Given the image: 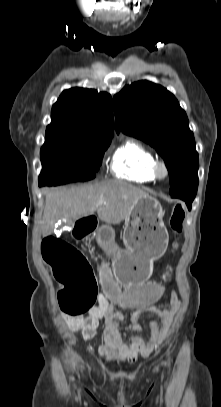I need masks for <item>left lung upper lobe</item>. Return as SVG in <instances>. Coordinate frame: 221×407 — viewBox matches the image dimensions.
Segmentation results:
<instances>
[{
	"instance_id": "1",
	"label": "left lung upper lobe",
	"mask_w": 221,
	"mask_h": 407,
	"mask_svg": "<svg viewBox=\"0 0 221 407\" xmlns=\"http://www.w3.org/2000/svg\"><path fill=\"white\" fill-rule=\"evenodd\" d=\"M117 133L144 140L164 159L170 194L198 184V153L185 111L175 96L149 81L125 86L113 99Z\"/></svg>"
}]
</instances>
